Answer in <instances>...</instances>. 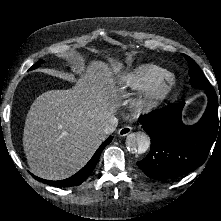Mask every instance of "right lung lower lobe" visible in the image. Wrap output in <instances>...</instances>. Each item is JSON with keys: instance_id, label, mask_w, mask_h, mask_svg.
Segmentation results:
<instances>
[{"instance_id": "98d812e1", "label": "right lung lower lobe", "mask_w": 221, "mask_h": 221, "mask_svg": "<svg viewBox=\"0 0 221 221\" xmlns=\"http://www.w3.org/2000/svg\"><path fill=\"white\" fill-rule=\"evenodd\" d=\"M113 136H110L105 142L101 144V146L97 149L93 157L89 160V162L77 173L72 175L71 177L64 179V180H58V181H50V180H44L39 177H36L33 175V177L41 181L45 184L56 186L59 188L64 187H71V186H77L82 184L86 178L92 173L94 168L96 167V164L98 163L99 157L101 155L102 150L111 142Z\"/></svg>"}]
</instances>
